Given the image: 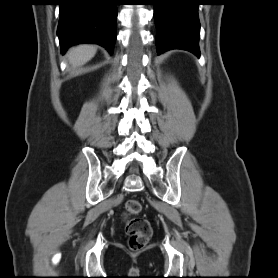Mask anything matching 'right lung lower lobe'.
<instances>
[{"instance_id": "obj_1", "label": "right lung lower lobe", "mask_w": 278, "mask_h": 278, "mask_svg": "<svg viewBox=\"0 0 278 278\" xmlns=\"http://www.w3.org/2000/svg\"><path fill=\"white\" fill-rule=\"evenodd\" d=\"M57 34L63 54L79 43L99 44L113 53L116 39V0H59Z\"/></svg>"}]
</instances>
